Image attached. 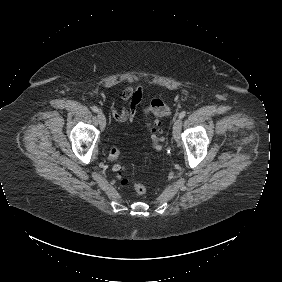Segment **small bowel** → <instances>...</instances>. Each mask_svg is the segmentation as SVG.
I'll use <instances>...</instances> for the list:
<instances>
[{"label":"small bowel","mask_w":282,"mask_h":282,"mask_svg":"<svg viewBox=\"0 0 282 282\" xmlns=\"http://www.w3.org/2000/svg\"><path fill=\"white\" fill-rule=\"evenodd\" d=\"M142 97V85H129L125 87L121 93V108L116 109L115 106H110V112L114 120L117 122H133L141 104ZM143 113L144 115L147 114L146 109Z\"/></svg>","instance_id":"small-bowel-1"}]
</instances>
